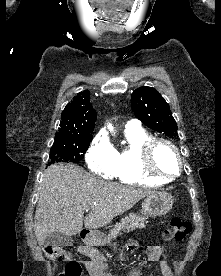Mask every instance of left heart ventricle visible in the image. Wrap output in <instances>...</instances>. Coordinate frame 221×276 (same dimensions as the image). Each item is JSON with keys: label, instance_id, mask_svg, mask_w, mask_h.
<instances>
[{"label": "left heart ventricle", "instance_id": "b2bd125f", "mask_svg": "<svg viewBox=\"0 0 221 276\" xmlns=\"http://www.w3.org/2000/svg\"><path fill=\"white\" fill-rule=\"evenodd\" d=\"M154 164L157 170L163 174H174L178 169L174 152L164 144L157 146L154 152Z\"/></svg>", "mask_w": 221, "mask_h": 276}]
</instances>
